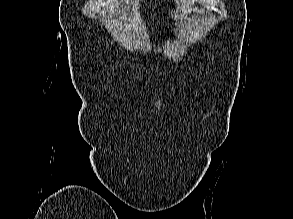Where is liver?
<instances>
[{"label": "liver", "mask_w": 293, "mask_h": 219, "mask_svg": "<svg viewBox=\"0 0 293 219\" xmlns=\"http://www.w3.org/2000/svg\"><path fill=\"white\" fill-rule=\"evenodd\" d=\"M178 3V1H177ZM193 0H181V6L178 5L177 13L175 14V19H183L185 14L187 15L192 6ZM114 12V11H113ZM108 30L114 36V38L121 43L122 46L126 48H131L132 46V36L131 32L126 30V32H122L121 30L113 25L108 24Z\"/></svg>", "instance_id": "liver-1"}]
</instances>
